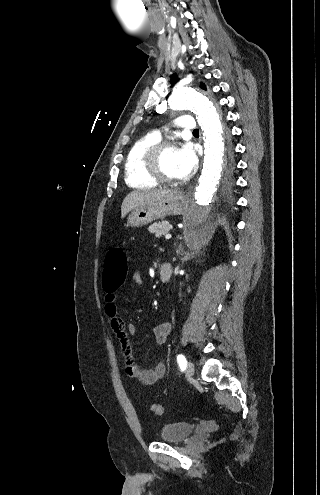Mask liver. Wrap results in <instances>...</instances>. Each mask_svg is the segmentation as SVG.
Listing matches in <instances>:
<instances>
[{"instance_id": "6515ba94", "label": "liver", "mask_w": 320, "mask_h": 495, "mask_svg": "<svg viewBox=\"0 0 320 495\" xmlns=\"http://www.w3.org/2000/svg\"><path fill=\"white\" fill-rule=\"evenodd\" d=\"M171 192V190H134L122 202L121 217H125L130 211L138 207L157 201Z\"/></svg>"}]
</instances>
